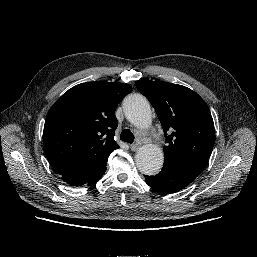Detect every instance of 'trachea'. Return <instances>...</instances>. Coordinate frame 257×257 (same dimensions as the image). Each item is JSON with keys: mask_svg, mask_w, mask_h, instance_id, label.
Masks as SVG:
<instances>
[{"mask_svg": "<svg viewBox=\"0 0 257 257\" xmlns=\"http://www.w3.org/2000/svg\"><path fill=\"white\" fill-rule=\"evenodd\" d=\"M120 139L127 143H133L134 142V135L129 129H125L120 134Z\"/></svg>", "mask_w": 257, "mask_h": 257, "instance_id": "obj_1", "label": "trachea"}]
</instances>
